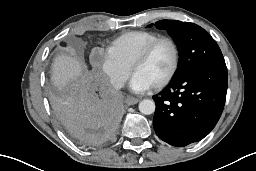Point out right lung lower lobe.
Returning <instances> with one entry per match:
<instances>
[{"label":"right lung lower lobe","mask_w":256,"mask_h":171,"mask_svg":"<svg viewBox=\"0 0 256 171\" xmlns=\"http://www.w3.org/2000/svg\"><path fill=\"white\" fill-rule=\"evenodd\" d=\"M121 96L107 85L84 89L55 106L68 134L83 144L102 145L114 136L121 118Z\"/></svg>","instance_id":"1"}]
</instances>
